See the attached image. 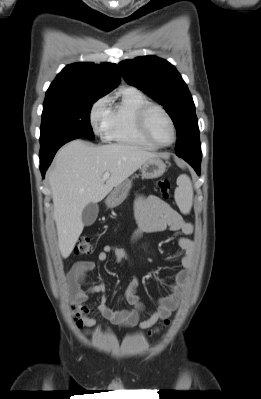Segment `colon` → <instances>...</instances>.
Here are the masks:
<instances>
[{"label":"colon","mask_w":261,"mask_h":399,"mask_svg":"<svg viewBox=\"0 0 261 399\" xmlns=\"http://www.w3.org/2000/svg\"><path fill=\"white\" fill-rule=\"evenodd\" d=\"M158 188L161 193V195L164 198H168L170 191H171V183L167 178H162L158 181ZM94 250V244L90 236L88 235H82L79 237L74 252L76 255H88L91 254ZM71 312H72V318L74 322L76 323L77 326H82L83 323V317L87 312V309L84 305H80L76 302H73L71 305ZM169 324V321L166 320L164 322V326H167ZM153 331H158V330H153Z\"/></svg>","instance_id":"1"}]
</instances>
